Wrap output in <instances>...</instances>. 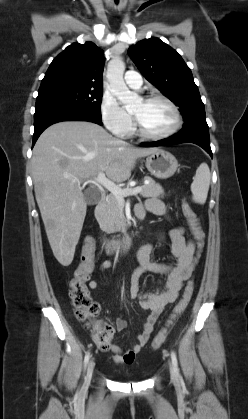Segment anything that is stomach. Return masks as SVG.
Segmentation results:
<instances>
[{
  "label": "stomach",
  "mask_w": 248,
  "mask_h": 419,
  "mask_svg": "<svg viewBox=\"0 0 248 419\" xmlns=\"http://www.w3.org/2000/svg\"><path fill=\"white\" fill-rule=\"evenodd\" d=\"M145 165L152 175L160 179L173 176L178 168L176 158L165 150H158L150 154L146 158Z\"/></svg>",
  "instance_id": "1"
}]
</instances>
